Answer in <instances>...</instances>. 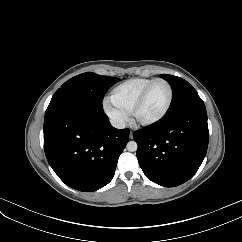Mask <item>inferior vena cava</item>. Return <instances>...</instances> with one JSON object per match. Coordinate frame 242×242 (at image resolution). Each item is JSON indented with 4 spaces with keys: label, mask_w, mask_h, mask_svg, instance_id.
I'll return each mask as SVG.
<instances>
[{
    "label": "inferior vena cava",
    "mask_w": 242,
    "mask_h": 242,
    "mask_svg": "<svg viewBox=\"0 0 242 242\" xmlns=\"http://www.w3.org/2000/svg\"><path fill=\"white\" fill-rule=\"evenodd\" d=\"M111 124L117 129H124L126 126L125 122L122 119H113L111 120Z\"/></svg>",
    "instance_id": "obj_1"
}]
</instances>
